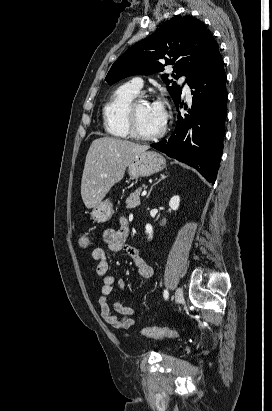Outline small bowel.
<instances>
[{"mask_svg":"<svg viewBox=\"0 0 272 411\" xmlns=\"http://www.w3.org/2000/svg\"><path fill=\"white\" fill-rule=\"evenodd\" d=\"M130 229L126 220L121 221L118 229L108 228L103 232V241L107 249L114 257L120 252L126 253L134 262L139 275L148 279L153 275L152 265L140 256L139 251L126 243ZM92 258L96 262L97 275L102 280L101 294L98 298L100 315L102 319L110 326L118 330H127L136 325L134 315L136 310L133 307L124 305L119 299L113 304V309L108 303L114 287L120 290L124 288L122 280L116 281L114 275L109 270L106 253L103 248H95L92 251ZM119 315H117V314Z\"/></svg>","mask_w":272,"mask_h":411,"instance_id":"1","label":"small bowel"}]
</instances>
